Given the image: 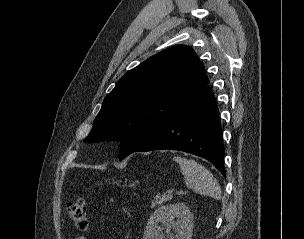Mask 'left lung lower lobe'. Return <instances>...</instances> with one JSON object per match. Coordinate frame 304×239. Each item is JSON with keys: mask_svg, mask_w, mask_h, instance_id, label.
I'll return each mask as SVG.
<instances>
[{"mask_svg": "<svg viewBox=\"0 0 304 239\" xmlns=\"http://www.w3.org/2000/svg\"><path fill=\"white\" fill-rule=\"evenodd\" d=\"M221 137L218 107L207 84L196 98L131 153L165 149L184 151L207 159L225 176Z\"/></svg>", "mask_w": 304, "mask_h": 239, "instance_id": "1", "label": "left lung lower lobe"}]
</instances>
